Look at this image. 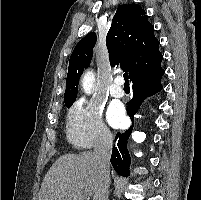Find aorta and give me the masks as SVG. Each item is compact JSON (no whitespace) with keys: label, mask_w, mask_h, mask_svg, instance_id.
Segmentation results:
<instances>
[{"label":"aorta","mask_w":201,"mask_h":200,"mask_svg":"<svg viewBox=\"0 0 201 200\" xmlns=\"http://www.w3.org/2000/svg\"><path fill=\"white\" fill-rule=\"evenodd\" d=\"M95 82V74L87 71L82 78V87L86 93H90Z\"/></svg>","instance_id":"762f6f07"}]
</instances>
